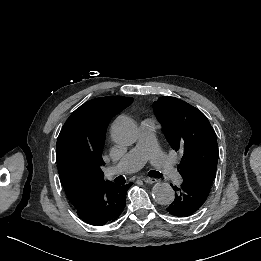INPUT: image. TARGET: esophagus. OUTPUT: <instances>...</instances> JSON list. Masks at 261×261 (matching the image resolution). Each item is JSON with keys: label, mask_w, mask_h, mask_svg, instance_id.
I'll return each mask as SVG.
<instances>
[{"label": "esophagus", "mask_w": 261, "mask_h": 261, "mask_svg": "<svg viewBox=\"0 0 261 261\" xmlns=\"http://www.w3.org/2000/svg\"><path fill=\"white\" fill-rule=\"evenodd\" d=\"M143 180H144V182H146L148 184H153L158 181L156 178H144Z\"/></svg>", "instance_id": "esophagus-1"}]
</instances>
